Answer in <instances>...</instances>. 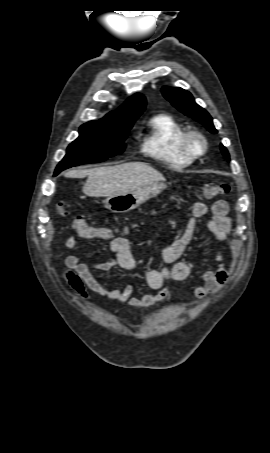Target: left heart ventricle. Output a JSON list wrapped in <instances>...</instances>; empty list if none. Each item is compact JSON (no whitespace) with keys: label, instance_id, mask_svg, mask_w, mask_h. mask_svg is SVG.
I'll list each match as a JSON object with an SVG mask.
<instances>
[{"label":"left heart ventricle","instance_id":"left-heart-ventricle-1","mask_svg":"<svg viewBox=\"0 0 270 453\" xmlns=\"http://www.w3.org/2000/svg\"><path fill=\"white\" fill-rule=\"evenodd\" d=\"M194 146H195L196 148H199V147L201 146V143H200L199 141H195V142H194Z\"/></svg>","mask_w":270,"mask_h":453}]
</instances>
